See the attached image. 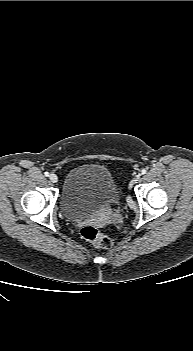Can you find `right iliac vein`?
<instances>
[{
	"instance_id": "obj_1",
	"label": "right iliac vein",
	"mask_w": 193,
	"mask_h": 351,
	"mask_svg": "<svg viewBox=\"0 0 193 351\" xmlns=\"http://www.w3.org/2000/svg\"><path fill=\"white\" fill-rule=\"evenodd\" d=\"M49 179H50V181L53 182V183L58 182V177H57L56 174H51V175L49 176Z\"/></svg>"
}]
</instances>
